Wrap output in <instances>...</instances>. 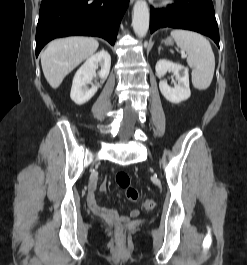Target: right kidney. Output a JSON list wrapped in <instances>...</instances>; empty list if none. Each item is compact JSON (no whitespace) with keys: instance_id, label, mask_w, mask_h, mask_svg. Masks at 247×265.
<instances>
[{"instance_id":"right-kidney-1","label":"right kidney","mask_w":247,"mask_h":265,"mask_svg":"<svg viewBox=\"0 0 247 265\" xmlns=\"http://www.w3.org/2000/svg\"><path fill=\"white\" fill-rule=\"evenodd\" d=\"M111 57L110 54L101 50L100 52L92 55L86 60V62L76 72L70 97L77 104L82 105L89 101L97 92L98 85L92 84L91 88L88 87L91 84L93 77L96 76V70L100 67L98 76L100 79H106L110 72Z\"/></svg>"}]
</instances>
